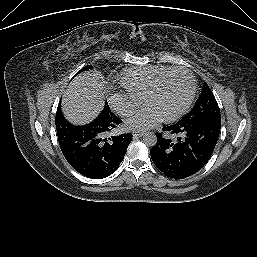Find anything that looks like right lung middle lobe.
Returning a JSON list of instances; mask_svg holds the SVG:
<instances>
[{"label": "right lung middle lobe", "mask_w": 257, "mask_h": 257, "mask_svg": "<svg viewBox=\"0 0 257 257\" xmlns=\"http://www.w3.org/2000/svg\"><path fill=\"white\" fill-rule=\"evenodd\" d=\"M87 69H91V65H88L84 68H82L81 71H84V70H87ZM104 111L108 112V113H112L111 110L109 109V107L107 106V102H106V105H105V108H104Z\"/></svg>", "instance_id": "dd1d6c3e"}]
</instances>
